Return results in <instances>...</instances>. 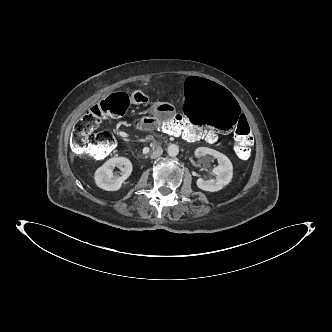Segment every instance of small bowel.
Segmentation results:
<instances>
[{"mask_svg": "<svg viewBox=\"0 0 332 332\" xmlns=\"http://www.w3.org/2000/svg\"><path fill=\"white\" fill-rule=\"evenodd\" d=\"M131 98L135 104H146L149 102L147 93L142 88H136L131 93ZM175 108L169 102H155L151 105L150 115L144 116L140 118L135 124V128L140 131H153L155 130V126H153L150 122L151 119L158 117L161 121H171L175 117ZM192 134L193 141L200 138V133L195 129L189 130ZM211 136H215V133L209 132Z\"/></svg>", "mask_w": 332, "mask_h": 332, "instance_id": "c3829d8e", "label": "small bowel"}]
</instances>
